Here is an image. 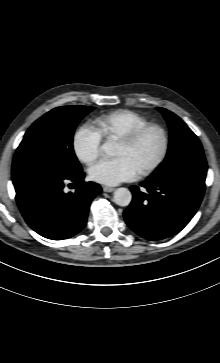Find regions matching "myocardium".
Segmentation results:
<instances>
[{"label":"myocardium","mask_w":220,"mask_h":363,"mask_svg":"<svg viewBox=\"0 0 220 363\" xmlns=\"http://www.w3.org/2000/svg\"><path fill=\"white\" fill-rule=\"evenodd\" d=\"M151 130H156L160 133L162 142L161 148L156 159L148 166L139 171L138 175L140 177L147 176L157 170L162 163L165 161L168 150H169V135L164 126L158 123H147L116 140L117 144L123 146H132L136 144L147 132Z\"/></svg>","instance_id":"obj_1"}]
</instances>
